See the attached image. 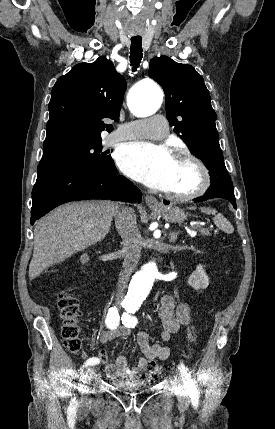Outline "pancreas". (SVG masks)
<instances>
[{
    "label": "pancreas",
    "instance_id": "1",
    "mask_svg": "<svg viewBox=\"0 0 275 429\" xmlns=\"http://www.w3.org/2000/svg\"><path fill=\"white\" fill-rule=\"evenodd\" d=\"M198 231L203 236H209L210 235V230L207 228H200V229H198Z\"/></svg>",
    "mask_w": 275,
    "mask_h": 429
}]
</instances>
